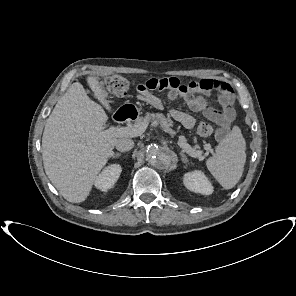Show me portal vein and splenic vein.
Segmentation results:
<instances>
[{"mask_svg":"<svg viewBox=\"0 0 296 296\" xmlns=\"http://www.w3.org/2000/svg\"><path fill=\"white\" fill-rule=\"evenodd\" d=\"M148 123L142 122L140 124H136L134 126L129 127H110L105 130L103 133L109 136L115 137H135L141 135L147 128ZM178 145L183 149V151L187 152L192 157L200 156L199 151H195L188 143L179 140Z\"/></svg>","mask_w":296,"mask_h":296,"instance_id":"1","label":"portal vein and splenic vein"}]
</instances>
